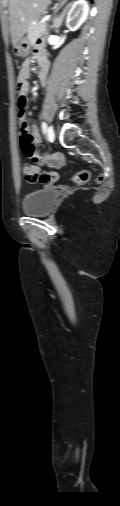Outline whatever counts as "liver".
Masks as SVG:
<instances>
[{
  "label": "liver",
  "mask_w": 120,
  "mask_h": 506,
  "mask_svg": "<svg viewBox=\"0 0 120 506\" xmlns=\"http://www.w3.org/2000/svg\"><path fill=\"white\" fill-rule=\"evenodd\" d=\"M50 0H10L9 21L12 44L15 45L26 33L33 21L39 19Z\"/></svg>",
  "instance_id": "1"
}]
</instances>
